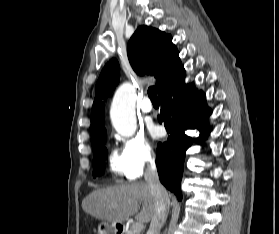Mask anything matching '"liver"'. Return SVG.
<instances>
[{
	"label": "liver",
	"mask_w": 279,
	"mask_h": 234,
	"mask_svg": "<svg viewBox=\"0 0 279 234\" xmlns=\"http://www.w3.org/2000/svg\"><path fill=\"white\" fill-rule=\"evenodd\" d=\"M82 208L87 214L105 222L123 223L136 215L137 220L147 223L154 214L155 201L148 184L140 181L97 189L83 200Z\"/></svg>",
	"instance_id": "liver-1"
}]
</instances>
